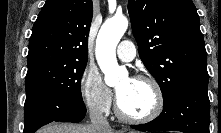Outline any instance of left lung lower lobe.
<instances>
[{
    "instance_id": "obj_1",
    "label": "left lung lower lobe",
    "mask_w": 221,
    "mask_h": 133,
    "mask_svg": "<svg viewBox=\"0 0 221 133\" xmlns=\"http://www.w3.org/2000/svg\"><path fill=\"white\" fill-rule=\"evenodd\" d=\"M206 84L182 87L168 102L155 120L131 125L133 129L149 131H172L184 133H209L210 103Z\"/></svg>"
}]
</instances>
